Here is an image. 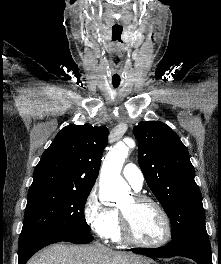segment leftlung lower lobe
I'll list each match as a JSON object with an SVG mask.
<instances>
[{"instance_id":"left-lung-lower-lobe-1","label":"left lung lower lobe","mask_w":221,"mask_h":264,"mask_svg":"<svg viewBox=\"0 0 221 264\" xmlns=\"http://www.w3.org/2000/svg\"><path fill=\"white\" fill-rule=\"evenodd\" d=\"M133 252L151 256L169 258L183 256L198 264H212L211 246L206 233H190L172 239L166 246L153 249H132Z\"/></svg>"}]
</instances>
